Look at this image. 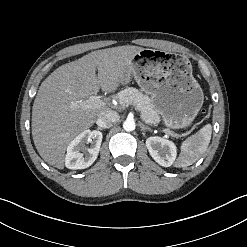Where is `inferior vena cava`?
<instances>
[{"instance_id":"obj_1","label":"inferior vena cava","mask_w":247,"mask_h":247,"mask_svg":"<svg viewBox=\"0 0 247 247\" xmlns=\"http://www.w3.org/2000/svg\"><path fill=\"white\" fill-rule=\"evenodd\" d=\"M118 120H119L118 113L115 111L109 110L99 115V117L96 120V124L100 128L105 129V128H110Z\"/></svg>"}]
</instances>
